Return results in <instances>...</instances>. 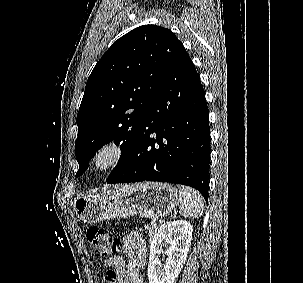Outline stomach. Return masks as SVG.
<instances>
[{
	"label": "stomach",
	"instance_id": "0dacf381",
	"mask_svg": "<svg viewBox=\"0 0 303 283\" xmlns=\"http://www.w3.org/2000/svg\"><path fill=\"white\" fill-rule=\"evenodd\" d=\"M178 191L167 183H139L77 197L76 215L86 223L140 215L157 219L169 215L178 203Z\"/></svg>",
	"mask_w": 303,
	"mask_h": 283
}]
</instances>
